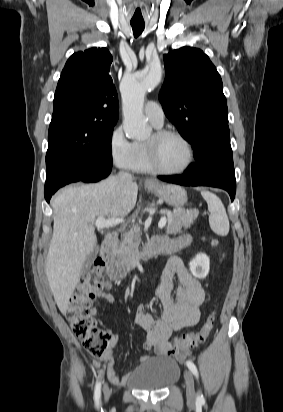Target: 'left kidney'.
Instances as JSON below:
<instances>
[{
    "instance_id": "1",
    "label": "left kidney",
    "mask_w": 283,
    "mask_h": 412,
    "mask_svg": "<svg viewBox=\"0 0 283 412\" xmlns=\"http://www.w3.org/2000/svg\"><path fill=\"white\" fill-rule=\"evenodd\" d=\"M192 275L199 279H204L209 273L210 259L204 253H198L189 263Z\"/></svg>"
}]
</instances>
